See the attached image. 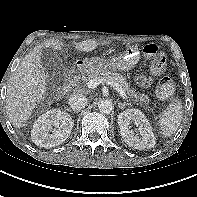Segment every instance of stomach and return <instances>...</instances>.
Returning a JSON list of instances; mask_svg holds the SVG:
<instances>
[{"mask_svg": "<svg viewBox=\"0 0 197 197\" xmlns=\"http://www.w3.org/2000/svg\"><path fill=\"white\" fill-rule=\"evenodd\" d=\"M140 60V53L136 48L129 47L120 56L104 60L98 57L86 58L80 61L78 67L88 72L113 70L129 71L134 68Z\"/></svg>", "mask_w": 197, "mask_h": 197, "instance_id": "obj_1", "label": "stomach"}]
</instances>
